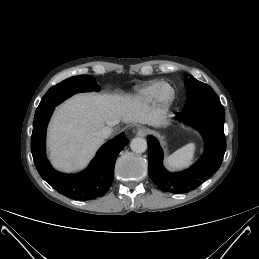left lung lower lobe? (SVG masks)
<instances>
[{
  "label": "left lung lower lobe",
  "instance_id": "left-lung-lower-lobe-1",
  "mask_svg": "<svg viewBox=\"0 0 259 259\" xmlns=\"http://www.w3.org/2000/svg\"><path fill=\"white\" fill-rule=\"evenodd\" d=\"M176 115L196 128L203 136L205 141L203 156L189 169L170 173L163 167V151L159 142L155 137L148 136V172L151 180L160 190L181 194L196 189L219 169L226 148L225 111L221 104H213L176 113Z\"/></svg>",
  "mask_w": 259,
  "mask_h": 259
}]
</instances>
